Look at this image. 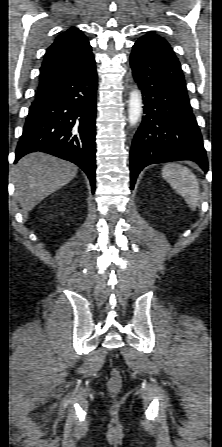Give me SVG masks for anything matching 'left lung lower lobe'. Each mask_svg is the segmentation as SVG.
Returning a JSON list of instances; mask_svg holds the SVG:
<instances>
[{
	"mask_svg": "<svg viewBox=\"0 0 222 447\" xmlns=\"http://www.w3.org/2000/svg\"><path fill=\"white\" fill-rule=\"evenodd\" d=\"M130 64L145 105L130 151L131 189L140 171L150 164L193 160L206 171L202 136L181 65L170 45L157 35L142 36L133 46Z\"/></svg>",
	"mask_w": 222,
	"mask_h": 447,
	"instance_id": "1",
	"label": "left lung lower lobe"
}]
</instances>
